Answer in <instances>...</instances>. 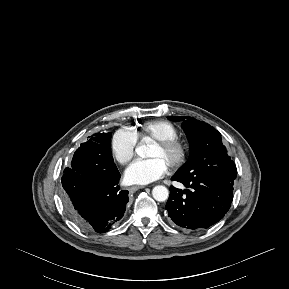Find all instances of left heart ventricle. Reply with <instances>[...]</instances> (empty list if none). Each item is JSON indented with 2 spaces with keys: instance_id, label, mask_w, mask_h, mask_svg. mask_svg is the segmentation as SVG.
<instances>
[{
  "instance_id": "1",
  "label": "left heart ventricle",
  "mask_w": 289,
  "mask_h": 289,
  "mask_svg": "<svg viewBox=\"0 0 289 289\" xmlns=\"http://www.w3.org/2000/svg\"><path fill=\"white\" fill-rule=\"evenodd\" d=\"M148 158H157L168 167L175 158V153L173 151H163L157 148L156 146H151L147 153Z\"/></svg>"
}]
</instances>
